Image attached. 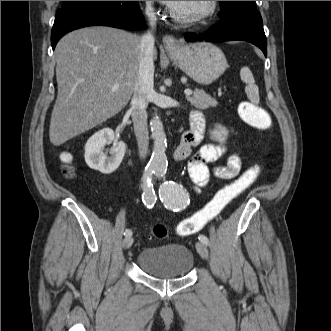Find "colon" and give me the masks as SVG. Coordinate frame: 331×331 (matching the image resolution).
<instances>
[{"label":"colon","instance_id":"5ec220e1","mask_svg":"<svg viewBox=\"0 0 331 331\" xmlns=\"http://www.w3.org/2000/svg\"><path fill=\"white\" fill-rule=\"evenodd\" d=\"M239 113L241 118L248 125L256 129L267 130L272 125L270 114L265 109L253 103H241ZM62 161L64 163L63 173L67 177H71L74 174V170L70 165V155L64 153ZM258 176L259 169L252 167L234 178L230 183L221 188L201 210L183 220L177 228L178 234L181 236L191 235L217 218L235 198L247 190L257 180ZM154 235L158 238L164 237L166 235V229L158 225L154 228Z\"/></svg>","mask_w":331,"mask_h":331}]
</instances>
